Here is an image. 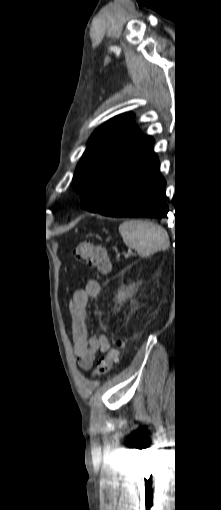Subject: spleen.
Listing matches in <instances>:
<instances>
[{"label": "spleen", "instance_id": "1", "mask_svg": "<svg viewBox=\"0 0 221 510\" xmlns=\"http://www.w3.org/2000/svg\"><path fill=\"white\" fill-rule=\"evenodd\" d=\"M124 243L147 257L157 251L167 249L169 238L160 226L144 220H126L119 226Z\"/></svg>", "mask_w": 221, "mask_h": 510}]
</instances>
